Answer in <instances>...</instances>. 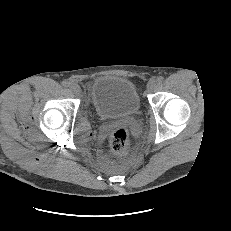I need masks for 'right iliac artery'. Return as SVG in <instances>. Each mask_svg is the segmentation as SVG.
<instances>
[{
  "label": "right iliac artery",
  "mask_w": 231,
  "mask_h": 231,
  "mask_svg": "<svg viewBox=\"0 0 231 231\" xmlns=\"http://www.w3.org/2000/svg\"><path fill=\"white\" fill-rule=\"evenodd\" d=\"M62 85H63L64 87H69L70 83H69L68 81H63V82H62Z\"/></svg>",
  "instance_id": "obj_1"
}]
</instances>
